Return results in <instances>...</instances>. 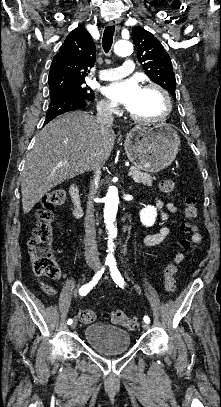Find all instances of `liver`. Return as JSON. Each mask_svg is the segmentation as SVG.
<instances>
[{
    "mask_svg": "<svg viewBox=\"0 0 221 407\" xmlns=\"http://www.w3.org/2000/svg\"><path fill=\"white\" fill-rule=\"evenodd\" d=\"M115 139L112 127L102 131L97 118L84 111L65 113L45 125L26 156L22 171L24 214L52 188L92 170L96 158L103 166Z\"/></svg>",
    "mask_w": 221,
    "mask_h": 407,
    "instance_id": "obj_1",
    "label": "liver"
}]
</instances>
